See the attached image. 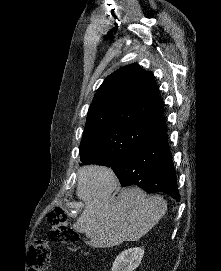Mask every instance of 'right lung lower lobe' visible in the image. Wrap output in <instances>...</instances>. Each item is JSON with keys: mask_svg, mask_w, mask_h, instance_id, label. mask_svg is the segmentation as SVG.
Returning a JSON list of instances; mask_svg holds the SVG:
<instances>
[{"mask_svg": "<svg viewBox=\"0 0 221 271\" xmlns=\"http://www.w3.org/2000/svg\"><path fill=\"white\" fill-rule=\"evenodd\" d=\"M110 167L122 186H138L147 193L162 192L179 201L165 120L151 126L140 143Z\"/></svg>", "mask_w": 221, "mask_h": 271, "instance_id": "98d812e1", "label": "right lung lower lobe"}]
</instances>
